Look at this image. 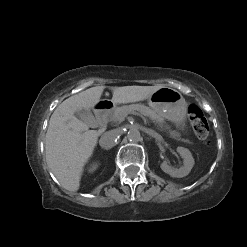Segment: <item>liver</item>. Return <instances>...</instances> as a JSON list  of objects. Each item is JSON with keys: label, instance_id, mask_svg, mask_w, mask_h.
<instances>
[{"label": "liver", "instance_id": "obj_1", "mask_svg": "<svg viewBox=\"0 0 247 247\" xmlns=\"http://www.w3.org/2000/svg\"><path fill=\"white\" fill-rule=\"evenodd\" d=\"M163 85L111 87L113 104L139 102L148 99ZM104 86H95L63 101L53 112L45 140L48 167L60 184L69 191L80 187L85 164L93 154L99 133L89 130L75 117L77 110H91L99 103Z\"/></svg>", "mask_w": 247, "mask_h": 247}]
</instances>
